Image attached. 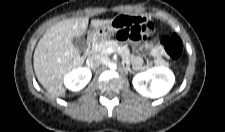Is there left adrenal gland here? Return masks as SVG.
Listing matches in <instances>:
<instances>
[{
	"label": "left adrenal gland",
	"mask_w": 225,
	"mask_h": 132,
	"mask_svg": "<svg viewBox=\"0 0 225 132\" xmlns=\"http://www.w3.org/2000/svg\"><path fill=\"white\" fill-rule=\"evenodd\" d=\"M125 70H126V71H129L130 73H133V71H132V70L130 69V67H128V66L125 68Z\"/></svg>",
	"instance_id": "1"
}]
</instances>
